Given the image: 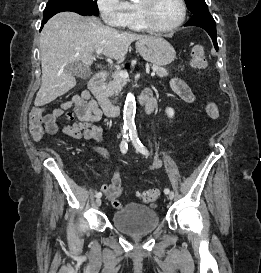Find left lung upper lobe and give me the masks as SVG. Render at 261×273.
<instances>
[{
    "mask_svg": "<svg viewBox=\"0 0 261 273\" xmlns=\"http://www.w3.org/2000/svg\"><path fill=\"white\" fill-rule=\"evenodd\" d=\"M186 6L192 14L208 9L204 0H185Z\"/></svg>",
    "mask_w": 261,
    "mask_h": 273,
    "instance_id": "obj_1",
    "label": "left lung upper lobe"
}]
</instances>
